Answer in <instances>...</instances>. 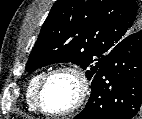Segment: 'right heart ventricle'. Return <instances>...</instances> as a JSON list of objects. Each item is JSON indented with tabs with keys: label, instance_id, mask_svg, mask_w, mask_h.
Returning a JSON list of instances; mask_svg holds the SVG:
<instances>
[{
	"label": "right heart ventricle",
	"instance_id": "right-heart-ventricle-1",
	"mask_svg": "<svg viewBox=\"0 0 142 119\" xmlns=\"http://www.w3.org/2000/svg\"><path fill=\"white\" fill-rule=\"evenodd\" d=\"M45 72L38 73L34 75L26 88V102L28 104V107L31 111H37V106H36V93L37 89L39 87V84L44 77Z\"/></svg>",
	"mask_w": 142,
	"mask_h": 119
}]
</instances>
